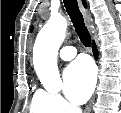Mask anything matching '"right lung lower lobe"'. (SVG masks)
Returning <instances> with one entry per match:
<instances>
[{
	"mask_svg": "<svg viewBox=\"0 0 121 113\" xmlns=\"http://www.w3.org/2000/svg\"><path fill=\"white\" fill-rule=\"evenodd\" d=\"M93 53H94L95 58H97V49H96L95 44H93Z\"/></svg>",
	"mask_w": 121,
	"mask_h": 113,
	"instance_id": "98d812e1",
	"label": "right lung lower lobe"
}]
</instances>
